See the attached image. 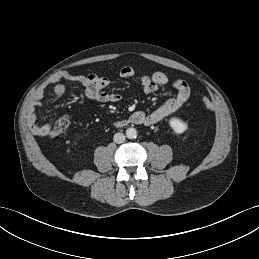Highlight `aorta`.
<instances>
[{
  "mask_svg": "<svg viewBox=\"0 0 259 259\" xmlns=\"http://www.w3.org/2000/svg\"><path fill=\"white\" fill-rule=\"evenodd\" d=\"M126 136H127V138H129V139H134V138H136V137H137V130H136L135 128H132V127L128 128V129L126 130Z\"/></svg>",
  "mask_w": 259,
  "mask_h": 259,
  "instance_id": "762f6f07",
  "label": "aorta"
}]
</instances>
